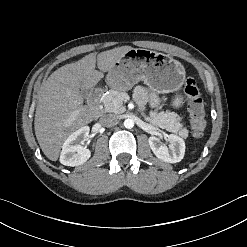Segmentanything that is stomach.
<instances>
[{"label":"stomach","mask_w":247,"mask_h":247,"mask_svg":"<svg viewBox=\"0 0 247 247\" xmlns=\"http://www.w3.org/2000/svg\"><path fill=\"white\" fill-rule=\"evenodd\" d=\"M183 65L168 55L142 48H133L115 62L106 76L109 87L127 91L144 81L158 93L177 92L184 81ZM184 98L176 94L171 101L174 108L183 105Z\"/></svg>","instance_id":"0dacf381"}]
</instances>
